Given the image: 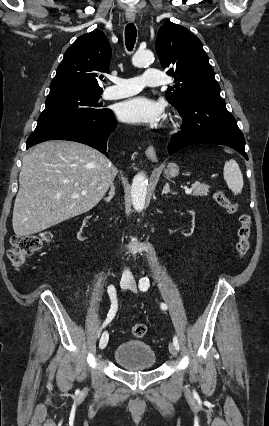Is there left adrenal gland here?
Masks as SVG:
<instances>
[{
	"instance_id": "left-adrenal-gland-1",
	"label": "left adrenal gland",
	"mask_w": 269,
	"mask_h": 426,
	"mask_svg": "<svg viewBox=\"0 0 269 426\" xmlns=\"http://www.w3.org/2000/svg\"><path fill=\"white\" fill-rule=\"evenodd\" d=\"M168 193L175 194L173 191L170 190L169 183H166L164 188H163L162 195L168 194Z\"/></svg>"
}]
</instances>
